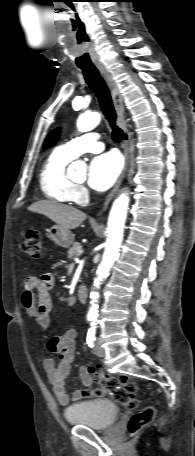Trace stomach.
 <instances>
[{"label":"stomach","instance_id":"obj_1","mask_svg":"<svg viewBox=\"0 0 195 456\" xmlns=\"http://www.w3.org/2000/svg\"><path fill=\"white\" fill-rule=\"evenodd\" d=\"M48 234L51 240L61 247H69L74 241L73 234L59 225L52 226L48 230Z\"/></svg>","mask_w":195,"mask_h":456}]
</instances>
